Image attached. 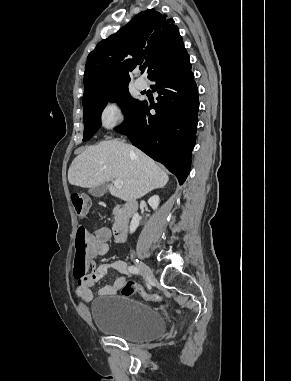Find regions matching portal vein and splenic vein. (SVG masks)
I'll return each mask as SVG.
<instances>
[{"label":"portal vein and splenic vein","mask_w":291,"mask_h":381,"mask_svg":"<svg viewBox=\"0 0 291 381\" xmlns=\"http://www.w3.org/2000/svg\"><path fill=\"white\" fill-rule=\"evenodd\" d=\"M113 183H114V186H115L116 188H122V187H123V181H122L121 179H115V180L113 181Z\"/></svg>","instance_id":"1"}]
</instances>
